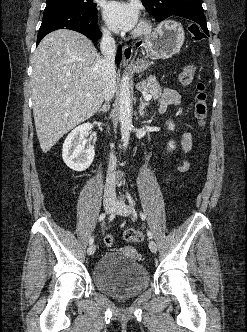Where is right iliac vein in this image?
Listing matches in <instances>:
<instances>
[{"mask_svg":"<svg viewBox=\"0 0 247 332\" xmlns=\"http://www.w3.org/2000/svg\"><path fill=\"white\" fill-rule=\"evenodd\" d=\"M104 209L108 214L113 212V210H114V201L111 200V199H106L104 201ZM95 250H96V246L94 244H92L88 248L87 252H88L89 255H92V254H94Z\"/></svg>","mask_w":247,"mask_h":332,"instance_id":"1","label":"right iliac vein"}]
</instances>
